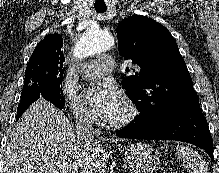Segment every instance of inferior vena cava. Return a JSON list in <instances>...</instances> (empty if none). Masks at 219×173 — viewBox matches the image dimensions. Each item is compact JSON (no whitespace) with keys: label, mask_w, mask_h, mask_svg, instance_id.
<instances>
[{"label":"inferior vena cava","mask_w":219,"mask_h":173,"mask_svg":"<svg viewBox=\"0 0 219 173\" xmlns=\"http://www.w3.org/2000/svg\"><path fill=\"white\" fill-rule=\"evenodd\" d=\"M75 134L80 143H89L94 139L93 120L86 108H81L76 114Z\"/></svg>","instance_id":"1"}]
</instances>
